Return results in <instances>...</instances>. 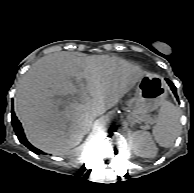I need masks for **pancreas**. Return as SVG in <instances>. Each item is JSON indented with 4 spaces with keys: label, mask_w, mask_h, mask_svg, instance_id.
<instances>
[{
    "label": "pancreas",
    "mask_w": 194,
    "mask_h": 193,
    "mask_svg": "<svg viewBox=\"0 0 194 193\" xmlns=\"http://www.w3.org/2000/svg\"><path fill=\"white\" fill-rule=\"evenodd\" d=\"M136 118L137 119H135V120H137L139 123H141V122H145L148 124L155 123V120L147 114H137Z\"/></svg>",
    "instance_id": "1"
}]
</instances>
